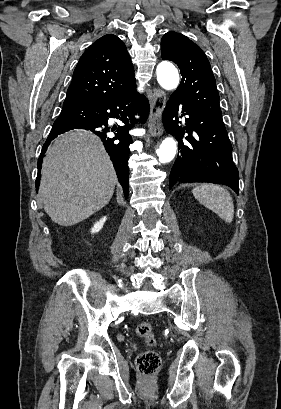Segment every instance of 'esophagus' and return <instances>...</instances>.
<instances>
[{"label":"esophagus","instance_id":"34e87169","mask_svg":"<svg viewBox=\"0 0 281 409\" xmlns=\"http://www.w3.org/2000/svg\"><path fill=\"white\" fill-rule=\"evenodd\" d=\"M166 105V94L163 90L154 89L149 115V132L153 137L163 134L161 117Z\"/></svg>","mask_w":281,"mask_h":409}]
</instances>
